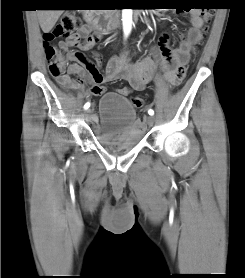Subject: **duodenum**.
Returning <instances> with one entry per match:
<instances>
[{"label":"duodenum","instance_id":"410a0bca","mask_svg":"<svg viewBox=\"0 0 245 278\" xmlns=\"http://www.w3.org/2000/svg\"><path fill=\"white\" fill-rule=\"evenodd\" d=\"M140 18L139 11L134 12V19ZM84 20L91 28L101 33H110L114 29V23L108 16L101 15L99 12L89 11L85 14ZM79 89H83L79 88Z\"/></svg>","mask_w":245,"mask_h":278}]
</instances>
